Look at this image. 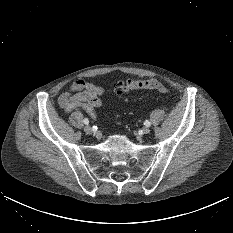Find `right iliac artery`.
<instances>
[{
    "label": "right iliac artery",
    "mask_w": 233,
    "mask_h": 233,
    "mask_svg": "<svg viewBox=\"0 0 233 233\" xmlns=\"http://www.w3.org/2000/svg\"><path fill=\"white\" fill-rule=\"evenodd\" d=\"M83 122H84V124H86V125L89 124V120H88L87 118H85V119L83 120Z\"/></svg>",
    "instance_id": "82829eb1"
}]
</instances>
